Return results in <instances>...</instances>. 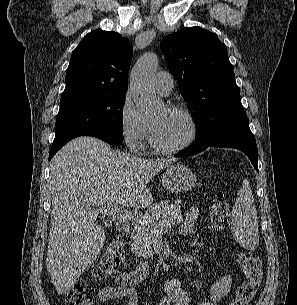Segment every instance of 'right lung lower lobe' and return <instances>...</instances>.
Segmentation results:
<instances>
[{
  "instance_id": "98d812e1",
  "label": "right lung lower lobe",
  "mask_w": 297,
  "mask_h": 305,
  "mask_svg": "<svg viewBox=\"0 0 297 305\" xmlns=\"http://www.w3.org/2000/svg\"><path fill=\"white\" fill-rule=\"evenodd\" d=\"M87 136H93V137H97L107 143L110 144H117L120 143L123 139L122 135H116V134H109V133H92V134H88ZM60 147H56V148H52L49 152V160H51V158L54 156V154L61 148Z\"/></svg>"
}]
</instances>
